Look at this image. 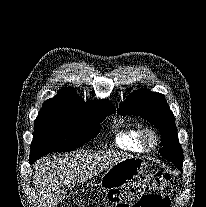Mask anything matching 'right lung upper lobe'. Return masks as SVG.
<instances>
[{
  "instance_id": "obj_1",
  "label": "right lung upper lobe",
  "mask_w": 206,
  "mask_h": 207,
  "mask_svg": "<svg viewBox=\"0 0 206 207\" xmlns=\"http://www.w3.org/2000/svg\"><path fill=\"white\" fill-rule=\"evenodd\" d=\"M43 106L66 107L85 111H93L102 108L115 109L108 100H87L84 102V99L79 98L72 87L61 89L54 98L46 100Z\"/></svg>"
}]
</instances>
